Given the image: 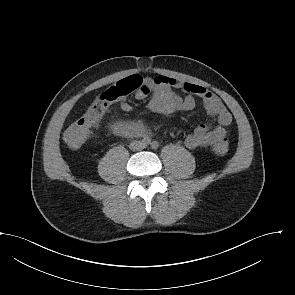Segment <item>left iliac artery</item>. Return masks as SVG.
I'll use <instances>...</instances> for the list:
<instances>
[{"label": "left iliac artery", "instance_id": "44dca946", "mask_svg": "<svg viewBox=\"0 0 295 295\" xmlns=\"http://www.w3.org/2000/svg\"><path fill=\"white\" fill-rule=\"evenodd\" d=\"M151 148L154 149V150H157L159 148L158 141H152L151 142Z\"/></svg>", "mask_w": 295, "mask_h": 295}]
</instances>
